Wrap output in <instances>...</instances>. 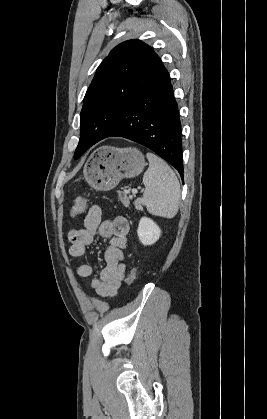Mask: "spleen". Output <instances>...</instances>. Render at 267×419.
Listing matches in <instances>:
<instances>
[{
    "label": "spleen",
    "instance_id": "spleen-1",
    "mask_svg": "<svg viewBox=\"0 0 267 419\" xmlns=\"http://www.w3.org/2000/svg\"><path fill=\"white\" fill-rule=\"evenodd\" d=\"M146 157L149 168L143 176V203L149 213L173 218L178 212L181 196L178 178L170 166L154 153L148 152Z\"/></svg>",
    "mask_w": 267,
    "mask_h": 419
}]
</instances>
